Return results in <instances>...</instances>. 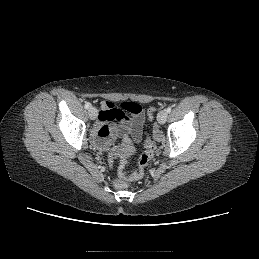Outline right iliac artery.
<instances>
[{"instance_id":"1","label":"right iliac artery","mask_w":259,"mask_h":259,"mask_svg":"<svg viewBox=\"0 0 259 259\" xmlns=\"http://www.w3.org/2000/svg\"><path fill=\"white\" fill-rule=\"evenodd\" d=\"M84 106L86 109H89L91 107V104L89 102H86Z\"/></svg>"}]
</instances>
